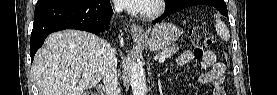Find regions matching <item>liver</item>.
I'll return each instance as SVG.
<instances>
[{
    "instance_id": "6515ba94",
    "label": "liver",
    "mask_w": 277,
    "mask_h": 95,
    "mask_svg": "<svg viewBox=\"0 0 277 95\" xmlns=\"http://www.w3.org/2000/svg\"><path fill=\"white\" fill-rule=\"evenodd\" d=\"M110 45L98 36L78 30L50 34L33 61L40 95H82L104 75Z\"/></svg>"
}]
</instances>
